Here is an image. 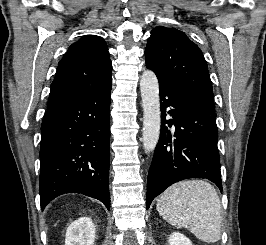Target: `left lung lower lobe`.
<instances>
[{
	"label": "left lung lower lobe",
	"mask_w": 266,
	"mask_h": 245,
	"mask_svg": "<svg viewBox=\"0 0 266 245\" xmlns=\"http://www.w3.org/2000/svg\"><path fill=\"white\" fill-rule=\"evenodd\" d=\"M158 80L162 125L148 173L147 208L171 184L184 179L206 178L222 192L215 110ZM165 124L174 125L175 139Z\"/></svg>",
	"instance_id": "left-lung-lower-lobe-1"
}]
</instances>
